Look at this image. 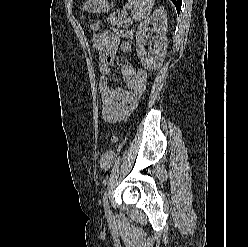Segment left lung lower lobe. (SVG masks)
Masks as SVG:
<instances>
[{
  "label": "left lung lower lobe",
  "mask_w": 248,
  "mask_h": 247,
  "mask_svg": "<svg viewBox=\"0 0 248 247\" xmlns=\"http://www.w3.org/2000/svg\"><path fill=\"white\" fill-rule=\"evenodd\" d=\"M171 1L174 3L177 12L179 13L181 9L182 0H171Z\"/></svg>",
  "instance_id": "1"
}]
</instances>
